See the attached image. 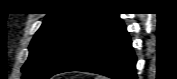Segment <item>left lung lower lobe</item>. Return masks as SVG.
I'll use <instances>...</instances> for the list:
<instances>
[{"mask_svg":"<svg viewBox=\"0 0 177 79\" xmlns=\"http://www.w3.org/2000/svg\"><path fill=\"white\" fill-rule=\"evenodd\" d=\"M136 56L118 14H108L71 50L53 74L92 72L113 79H136Z\"/></svg>","mask_w":177,"mask_h":79,"instance_id":"1","label":"left lung lower lobe"}]
</instances>
